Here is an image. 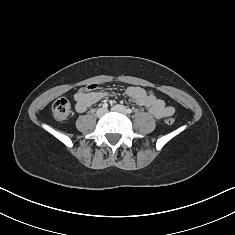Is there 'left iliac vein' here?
Listing matches in <instances>:
<instances>
[{
    "instance_id": "obj_1",
    "label": "left iliac vein",
    "mask_w": 235,
    "mask_h": 235,
    "mask_svg": "<svg viewBox=\"0 0 235 235\" xmlns=\"http://www.w3.org/2000/svg\"><path fill=\"white\" fill-rule=\"evenodd\" d=\"M112 111H115V112H120V113H123L125 114L126 113V109L123 105H115L112 107Z\"/></svg>"
}]
</instances>
